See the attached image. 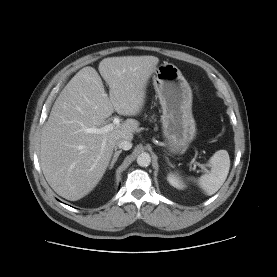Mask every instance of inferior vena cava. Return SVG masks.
<instances>
[{
    "instance_id": "1",
    "label": "inferior vena cava",
    "mask_w": 277,
    "mask_h": 277,
    "mask_svg": "<svg viewBox=\"0 0 277 277\" xmlns=\"http://www.w3.org/2000/svg\"><path fill=\"white\" fill-rule=\"evenodd\" d=\"M116 147L123 150H129L132 148V143L128 140H120L116 143Z\"/></svg>"
}]
</instances>
